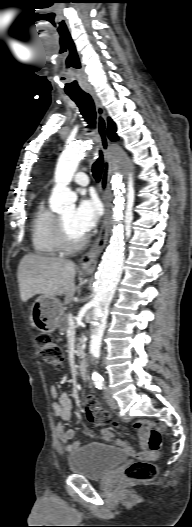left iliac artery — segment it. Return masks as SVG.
<instances>
[{
    "mask_svg": "<svg viewBox=\"0 0 192 527\" xmlns=\"http://www.w3.org/2000/svg\"><path fill=\"white\" fill-rule=\"evenodd\" d=\"M96 387H97L98 389H103V388H104V382H103V380L100 381V382H97V383H96Z\"/></svg>",
    "mask_w": 192,
    "mask_h": 527,
    "instance_id": "44dca946",
    "label": "left iliac artery"
}]
</instances>
